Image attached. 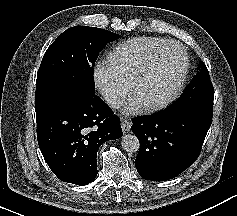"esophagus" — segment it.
<instances>
[{
	"mask_svg": "<svg viewBox=\"0 0 237 216\" xmlns=\"http://www.w3.org/2000/svg\"><path fill=\"white\" fill-rule=\"evenodd\" d=\"M131 125H132V123H131L130 119H128V118L122 119L121 120V127H122L123 133H127L128 131H130Z\"/></svg>",
	"mask_w": 237,
	"mask_h": 216,
	"instance_id": "1",
	"label": "esophagus"
}]
</instances>
